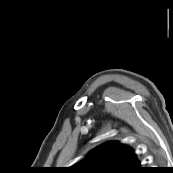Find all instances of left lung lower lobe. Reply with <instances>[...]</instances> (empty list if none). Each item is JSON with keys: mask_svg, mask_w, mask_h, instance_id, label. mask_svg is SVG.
<instances>
[{"mask_svg": "<svg viewBox=\"0 0 173 173\" xmlns=\"http://www.w3.org/2000/svg\"><path fill=\"white\" fill-rule=\"evenodd\" d=\"M147 171L144 169V171L142 173H146Z\"/></svg>", "mask_w": 173, "mask_h": 173, "instance_id": "obj_1", "label": "left lung lower lobe"}]
</instances>
